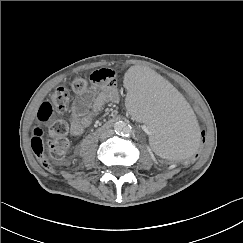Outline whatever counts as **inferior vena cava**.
I'll return each instance as SVG.
<instances>
[{
    "label": "inferior vena cava",
    "mask_w": 243,
    "mask_h": 243,
    "mask_svg": "<svg viewBox=\"0 0 243 243\" xmlns=\"http://www.w3.org/2000/svg\"><path fill=\"white\" fill-rule=\"evenodd\" d=\"M113 134H114V131L112 129H107L101 133V138L106 139V138L111 137Z\"/></svg>",
    "instance_id": "inferior-vena-cava-1"
}]
</instances>
